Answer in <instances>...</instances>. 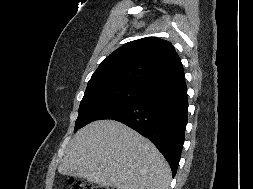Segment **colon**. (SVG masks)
Segmentation results:
<instances>
[{"instance_id":"5ec220e1","label":"colon","mask_w":253,"mask_h":189,"mask_svg":"<svg viewBox=\"0 0 253 189\" xmlns=\"http://www.w3.org/2000/svg\"><path fill=\"white\" fill-rule=\"evenodd\" d=\"M71 184L73 189H110L109 187L96 185L83 180H73Z\"/></svg>"}]
</instances>
